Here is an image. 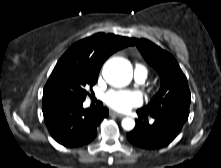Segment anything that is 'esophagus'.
<instances>
[{"label":"esophagus","instance_id":"34e87169","mask_svg":"<svg viewBox=\"0 0 221 168\" xmlns=\"http://www.w3.org/2000/svg\"><path fill=\"white\" fill-rule=\"evenodd\" d=\"M110 115L116 116V117H118V118H123V117H124L123 114L117 113V112H115V111H111V112H110Z\"/></svg>","mask_w":221,"mask_h":168}]
</instances>
